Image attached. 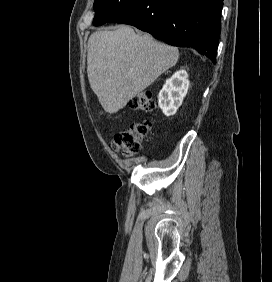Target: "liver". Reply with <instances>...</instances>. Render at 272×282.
I'll list each match as a JSON object with an SVG mask.
<instances>
[{
  "instance_id": "liver-1",
  "label": "liver",
  "mask_w": 272,
  "mask_h": 282,
  "mask_svg": "<svg viewBox=\"0 0 272 282\" xmlns=\"http://www.w3.org/2000/svg\"><path fill=\"white\" fill-rule=\"evenodd\" d=\"M178 58L176 47L136 33L129 26L97 31L88 39L89 83L104 110L113 114L174 66Z\"/></svg>"
}]
</instances>
